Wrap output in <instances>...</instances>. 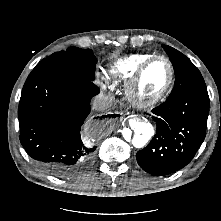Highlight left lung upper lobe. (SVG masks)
Masks as SVG:
<instances>
[{
  "mask_svg": "<svg viewBox=\"0 0 221 221\" xmlns=\"http://www.w3.org/2000/svg\"><path fill=\"white\" fill-rule=\"evenodd\" d=\"M175 72L174 88L168 98H176L185 92L206 89L204 79L198 68L178 50L163 45Z\"/></svg>",
  "mask_w": 221,
  "mask_h": 221,
  "instance_id": "5c2ea615",
  "label": "left lung upper lobe"
}]
</instances>
